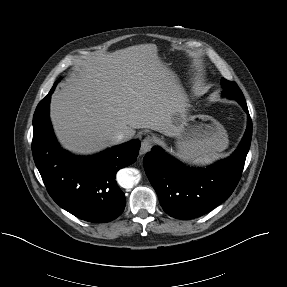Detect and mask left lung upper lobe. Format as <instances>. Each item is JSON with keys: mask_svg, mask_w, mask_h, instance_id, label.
Segmentation results:
<instances>
[{"mask_svg": "<svg viewBox=\"0 0 287 287\" xmlns=\"http://www.w3.org/2000/svg\"><path fill=\"white\" fill-rule=\"evenodd\" d=\"M221 85L223 87V95L227 96L230 99H235L237 101H245V98L236 83L222 78Z\"/></svg>", "mask_w": 287, "mask_h": 287, "instance_id": "5c2ea615", "label": "left lung upper lobe"}]
</instances>
